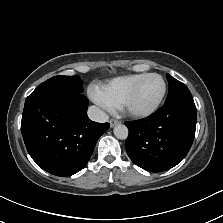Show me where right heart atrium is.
Masks as SVG:
<instances>
[{
	"label": "right heart atrium",
	"instance_id": "obj_1",
	"mask_svg": "<svg viewBox=\"0 0 223 223\" xmlns=\"http://www.w3.org/2000/svg\"><path fill=\"white\" fill-rule=\"evenodd\" d=\"M94 100L96 101L97 104L104 108H108L109 106L107 105L106 101L103 99V97L100 94H94Z\"/></svg>",
	"mask_w": 223,
	"mask_h": 223
}]
</instances>
